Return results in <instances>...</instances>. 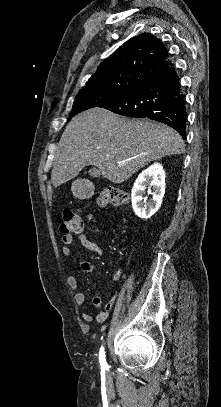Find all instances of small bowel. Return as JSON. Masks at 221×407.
Returning a JSON list of instances; mask_svg holds the SVG:
<instances>
[{
	"instance_id": "small-bowel-1",
	"label": "small bowel",
	"mask_w": 221,
	"mask_h": 407,
	"mask_svg": "<svg viewBox=\"0 0 221 407\" xmlns=\"http://www.w3.org/2000/svg\"><path fill=\"white\" fill-rule=\"evenodd\" d=\"M95 232L99 233V232H101V230L96 229ZM77 239L80 242V244L83 247H85L86 249H88L89 251L94 252L98 256H101L103 254L102 248L98 244L90 241L85 234H79L77 236ZM73 240L74 239H73L72 236H63V238H62V254L65 257H71L73 255V250L71 248ZM80 269L83 272H86V273H95L96 272V267L93 264H91V263H89L87 261L81 262ZM119 278H120V272L117 271L113 275L112 279L114 281H117V280H119ZM66 282H67L68 287L71 290H76L77 289L78 282H77V279H76V277H75V275L73 273H71V272L68 273L67 278H66ZM86 297H87L86 293L83 292V291H79V292L75 293V295H74V303H75V305L76 306H82L86 302ZM115 299H116V296H113L109 300L108 303L103 305V301H102L101 296L99 294H95L93 296L92 303H93V305L95 307L102 308V310L96 316H93L92 314H89V313H84L83 314V319L85 321H95L97 323L103 322L106 319L107 311H109L112 308V306L114 305Z\"/></svg>"
}]
</instances>
